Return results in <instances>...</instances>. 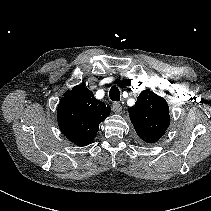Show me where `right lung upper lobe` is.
I'll list each match as a JSON object with an SVG mask.
<instances>
[{"label": "right lung upper lobe", "mask_w": 211, "mask_h": 211, "mask_svg": "<svg viewBox=\"0 0 211 211\" xmlns=\"http://www.w3.org/2000/svg\"><path fill=\"white\" fill-rule=\"evenodd\" d=\"M63 96L60 102L66 105L69 121L64 125L59 124V127L71 142L86 146L97 135L99 124L109 116L110 107L80 85L68 90Z\"/></svg>", "instance_id": "1"}]
</instances>
